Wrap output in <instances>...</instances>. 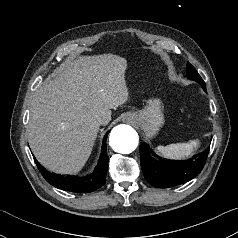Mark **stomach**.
Here are the masks:
<instances>
[{
  "instance_id": "0dacf381",
  "label": "stomach",
  "mask_w": 238,
  "mask_h": 238,
  "mask_svg": "<svg viewBox=\"0 0 238 238\" xmlns=\"http://www.w3.org/2000/svg\"><path fill=\"white\" fill-rule=\"evenodd\" d=\"M126 117L135 123L146 137H154L164 124L163 104L160 99H149L142 110L128 112Z\"/></svg>"
}]
</instances>
